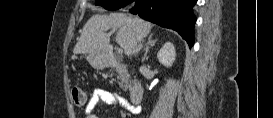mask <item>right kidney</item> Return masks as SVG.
I'll use <instances>...</instances> for the list:
<instances>
[{"label":"right kidney","mask_w":273,"mask_h":118,"mask_svg":"<svg viewBox=\"0 0 273 118\" xmlns=\"http://www.w3.org/2000/svg\"><path fill=\"white\" fill-rule=\"evenodd\" d=\"M176 52L174 45L171 42H166L157 54L159 62L166 66L171 67L175 61Z\"/></svg>","instance_id":"1"}]
</instances>
